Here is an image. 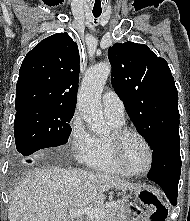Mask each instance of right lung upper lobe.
Instances as JSON below:
<instances>
[{
	"mask_svg": "<svg viewBox=\"0 0 190 221\" xmlns=\"http://www.w3.org/2000/svg\"><path fill=\"white\" fill-rule=\"evenodd\" d=\"M79 50L65 33L42 40L25 57L16 85L17 112L35 106H76Z\"/></svg>",
	"mask_w": 190,
	"mask_h": 221,
	"instance_id": "obj_1",
	"label": "right lung upper lobe"
}]
</instances>
